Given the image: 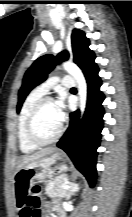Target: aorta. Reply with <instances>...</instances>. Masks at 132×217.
I'll use <instances>...</instances> for the list:
<instances>
[{"instance_id": "1", "label": "aorta", "mask_w": 132, "mask_h": 217, "mask_svg": "<svg viewBox=\"0 0 132 217\" xmlns=\"http://www.w3.org/2000/svg\"><path fill=\"white\" fill-rule=\"evenodd\" d=\"M63 68L71 75L77 82L78 94H79V107L81 116L84 114L87 103V83L85 77L80 68L72 63L66 62L63 64Z\"/></svg>"}]
</instances>
